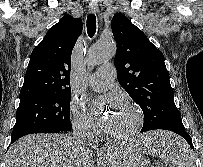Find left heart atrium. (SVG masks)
<instances>
[{
  "mask_svg": "<svg viewBox=\"0 0 203 167\" xmlns=\"http://www.w3.org/2000/svg\"><path fill=\"white\" fill-rule=\"evenodd\" d=\"M109 116H104L100 119L101 124L106 127Z\"/></svg>",
  "mask_w": 203,
  "mask_h": 167,
  "instance_id": "1",
  "label": "left heart atrium"
}]
</instances>
